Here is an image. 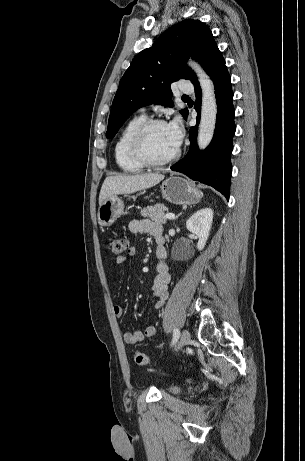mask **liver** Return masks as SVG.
Instances as JSON below:
<instances>
[{
	"mask_svg": "<svg viewBox=\"0 0 305 461\" xmlns=\"http://www.w3.org/2000/svg\"><path fill=\"white\" fill-rule=\"evenodd\" d=\"M163 179L164 175L158 173L109 176L102 184L99 194V205L113 195L131 194L151 188Z\"/></svg>",
	"mask_w": 305,
	"mask_h": 461,
	"instance_id": "obj_1",
	"label": "liver"
}]
</instances>
